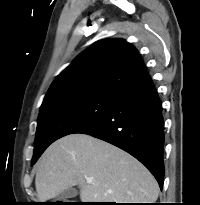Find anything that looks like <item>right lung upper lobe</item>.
<instances>
[{
	"instance_id": "obj_1",
	"label": "right lung upper lobe",
	"mask_w": 200,
	"mask_h": 205,
	"mask_svg": "<svg viewBox=\"0 0 200 205\" xmlns=\"http://www.w3.org/2000/svg\"><path fill=\"white\" fill-rule=\"evenodd\" d=\"M147 76L134 46L123 39L101 41L83 51L61 72L50 86L41 109L77 96L115 99Z\"/></svg>"
}]
</instances>
